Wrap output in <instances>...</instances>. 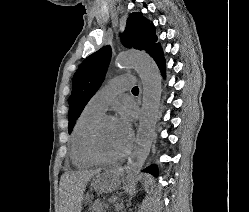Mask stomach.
<instances>
[{
	"instance_id": "0dacf381",
	"label": "stomach",
	"mask_w": 249,
	"mask_h": 212,
	"mask_svg": "<svg viewBox=\"0 0 249 212\" xmlns=\"http://www.w3.org/2000/svg\"><path fill=\"white\" fill-rule=\"evenodd\" d=\"M122 183V175H96V178H93L91 186L94 184L99 185L101 192H105V189H116V184ZM86 200H90L88 194Z\"/></svg>"
}]
</instances>
